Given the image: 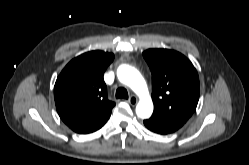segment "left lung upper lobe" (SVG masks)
Segmentation results:
<instances>
[{"label":"left lung upper lobe","instance_id":"1","mask_svg":"<svg viewBox=\"0 0 249 165\" xmlns=\"http://www.w3.org/2000/svg\"><path fill=\"white\" fill-rule=\"evenodd\" d=\"M152 73L154 116L186 123L199 100V77L192 63L169 49L143 52Z\"/></svg>","mask_w":249,"mask_h":165}]
</instances>
